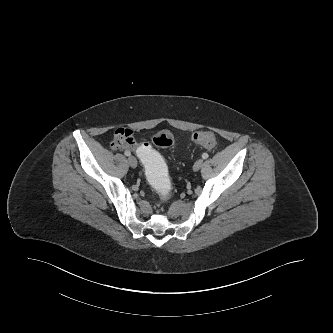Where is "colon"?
<instances>
[{"instance_id":"colon-1","label":"colon","mask_w":333,"mask_h":333,"mask_svg":"<svg viewBox=\"0 0 333 333\" xmlns=\"http://www.w3.org/2000/svg\"><path fill=\"white\" fill-rule=\"evenodd\" d=\"M192 140L205 148L215 145V136L211 131H197L192 135ZM152 143L158 148H168L175 143V137L170 131H161L152 138ZM148 143H141L137 147V155L141 163L145 164L143 175L148 184L152 185L157 193L166 197L169 193L170 182L168 171L165 167L164 155Z\"/></svg>"}]
</instances>
